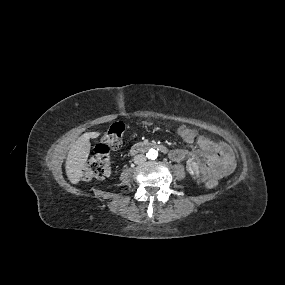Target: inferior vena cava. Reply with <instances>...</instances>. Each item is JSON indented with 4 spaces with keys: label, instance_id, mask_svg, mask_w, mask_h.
<instances>
[{
    "label": "inferior vena cava",
    "instance_id": "inferior-vena-cava-1",
    "mask_svg": "<svg viewBox=\"0 0 285 285\" xmlns=\"http://www.w3.org/2000/svg\"><path fill=\"white\" fill-rule=\"evenodd\" d=\"M146 161V156L144 154H138L134 157L135 164H143Z\"/></svg>",
    "mask_w": 285,
    "mask_h": 285
}]
</instances>
